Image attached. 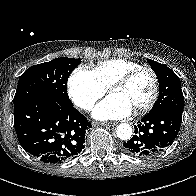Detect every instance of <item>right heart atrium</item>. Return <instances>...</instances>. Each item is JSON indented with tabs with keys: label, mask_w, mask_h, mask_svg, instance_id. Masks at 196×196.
I'll use <instances>...</instances> for the list:
<instances>
[{
	"label": "right heart atrium",
	"mask_w": 196,
	"mask_h": 196,
	"mask_svg": "<svg viewBox=\"0 0 196 196\" xmlns=\"http://www.w3.org/2000/svg\"><path fill=\"white\" fill-rule=\"evenodd\" d=\"M68 92L73 103L82 110H90L106 93L92 71L78 67L68 80Z\"/></svg>",
	"instance_id": "1"
}]
</instances>
